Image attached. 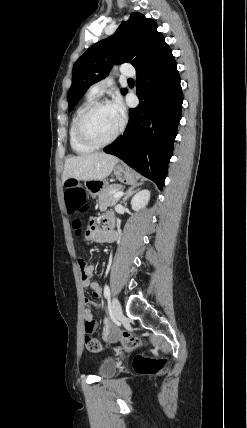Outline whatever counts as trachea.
Segmentation results:
<instances>
[{"instance_id": "trachea-1", "label": "trachea", "mask_w": 247, "mask_h": 428, "mask_svg": "<svg viewBox=\"0 0 247 428\" xmlns=\"http://www.w3.org/2000/svg\"><path fill=\"white\" fill-rule=\"evenodd\" d=\"M128 81H129V82H132V81H133V79L129 78V79H128Z\"/></svg>"}]
</instances>
